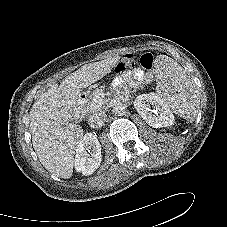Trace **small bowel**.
<instances>
[{"mask_svg": "<svg viewBox=\"0 0 227 227\" xmlns=\"http://www.w3.org/2000/svg\"><path fill=\"white\" fill-rule=\"evenodd\" d=\"M133 77L134 79L137 81V83H130L131 87H135L137 86V84L139 83H147L150 81V78L147 74H145L142 70L137 69L133 72ZM122 82H129L130 81V76L129 75H125L124 77H122L121 79Z\"/></svg>", "mask_w": 227, "mask_h": 227, "instance_id": "obj_1", "label": "small bowel"}]
</instances>
